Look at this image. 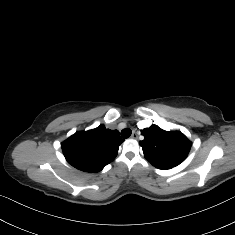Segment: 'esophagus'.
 <instances>
[{
	"mask_svg": "<svg viewBox=\"0 0 235 235\" xmlns=\"http://www.w3.org/2000/svg\"><path fill=\"white\" fill-rule=\"evenodd\" d=\"M131 138H132V139H137V138H138V134H137L136 131H133V132H132Z\"/></svg>",
	"mask_w": 235,
	"mask_h": 235,
	"instance_id": "34e87169",
	"label": "esophagus"
}]
</instances>
